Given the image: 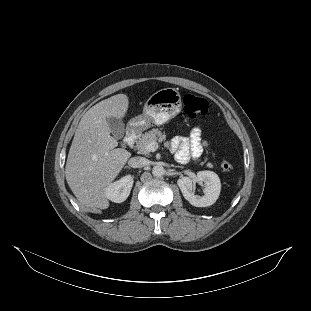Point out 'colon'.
<instances>
[{"label": "colon", "mask_w": 311, "mask_h": 311, "mask_svg": "<svg viewBox=\"0 0 311 311\" xmlns=\"http://www.w3.org/2000/svg\"><path fill=\"white\" fill-rule=\"evenodd\" d=\"M184 114L191 119L205 116L208 112V103L205 99L193 94H186L183 98ZM223 171H230L233 168L232 163L223 159L220 164Z\"/></svg>", "instance_id": "obj_1"}]
</instances>
